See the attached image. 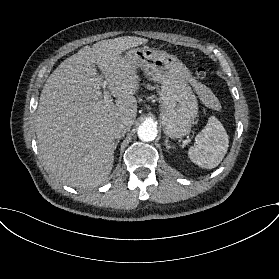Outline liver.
I'll list each match as a JSON object with an SVG mask.
<instances>
[{
	"mask_svg": "<svg viewBox=\"0 0 279 279\" xmlns=\"http://www.w3.org/2000/svg\"><path fill=\"white\" fill-rule=\"evenodd\" d=\"M148 42L125 36L84 46L47 78L35 116L37 143L64 184L86 189L107 183L114 166L111 130L117 124L130 128L138 111V64L123 54ZM189 81L200 96L202 85L192 77ZM106 85L115 103L104 100Z\"/></svg>",
	"mask_w": 279,
	"mask_h": 279,
	"instance_id": "1",
	"label": "liver"
}]
</instances>
